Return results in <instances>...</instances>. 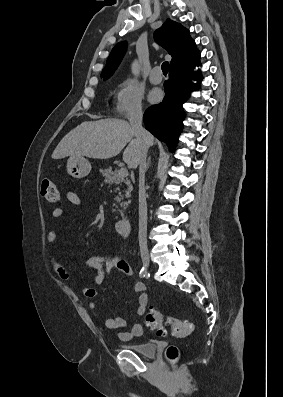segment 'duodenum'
<instances>
[{
    "label": "duodenum",
    "instance_id": "obj_1",
    "mask_svg": "<svg viewBox=\"0 0 283 397\" xmlns=\"http://www.w3.org/2000/svg\"><path fill=\"white\" fill-rule=\"evenodd\" d=\"M116 231L121 236H128L131 230V220L129 217L120 218L115 224Z\"/></svg>",
    "mask_w": 283,
    "mask_h": 397
}]
</instances>
